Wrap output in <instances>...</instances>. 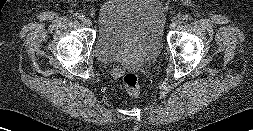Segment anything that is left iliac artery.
<instances>
[{
	"instance_id": "obj_1",
	"label": "left iliac artery",
	"mask_w": 253,
	"mask_h": 131,
	"mask_svg": "<svg viewBox=\"0 0 253 131\" xmlns=\"http://www.w3.org/2000/svg\"><path fill=\"white\" fill-rule=\"evenodd\" d=\"M179 19H180V22L186 23L189 20V16L188 15H183Z\"/></svg>"
}]
</instances>
